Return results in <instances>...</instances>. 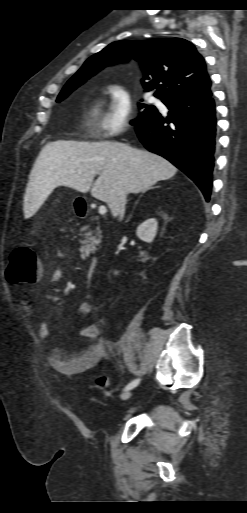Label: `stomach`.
<instances>
[{
	"instance_id": "stomach-1",
	"label": "stomach",
	"mask_w": 247,
	"mask_h": 513,
	"mask_svg": "<svg viewBox=\"0 0 247 513\" xmlns=\"http://www.w3.org/2000/svg\"><path fill=\"white\" fill-rule=\"evenodd\" d=\"M75 202H76V199L74 200V203H75ZM74 211L77 213V210H76V209H75Z\"/></svg>"
}]
</instances>
